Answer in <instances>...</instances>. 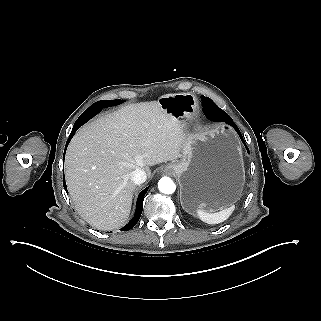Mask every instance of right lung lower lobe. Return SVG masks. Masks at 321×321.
<instances>
[{"label":"right lung lower lobe","instance_id":"98d812e1","mask_svg":"<svg viewBox=\"0 0 321 321\" xmlns=\"http://www.w3.org/2000/svg\"><path fill=\"white\" fill-rule=\"evenodd\" d=\"M102 101L96 102L93 105H91L84 113H82V115L77 119V121L74 124V127L72 129L71 135L67 141L66 146L68 145L69 141L71 140V138L73 137L74 133L76 132V130L78 128H80L84 123H86L89 119H91L92 117H94L96 114H98L102 108L104 107H109V106H113V105H118L120 103H122V101H117L116 103H101ZM64 187L65 190L66 189V184L64 182ZM148 190V187L145 188L138 196L137 199V207H136V211H135V215L132 218V220L123 228H121V231H128L131 228H133L136 223L139 221L141 213H142V209H143V200H144V196L146 194ZM68 193V191H67Z\"/></svg>","mask_w":321,"mask_h":321}]
</instances>
